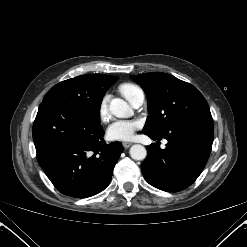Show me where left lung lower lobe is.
I'll use <instances>...</instances> for the list:
<instances>
[{"label": "left lung lower lobe", "mask_w": 247, "mask_h": 247, "mask_svg": "<svg viewBox=\"0 0 247 247\" xmlns=\"http://www.w3.org/2000/svg\"><path fill=\"white\" fill-rule=\"evenodd\" d=\"M168 140L165 149L156 144L147 146L142 173L152 186L167 192H178L190 186L201 174L211 152L214 128L212 118H200L177 126L159 137Z\"/></svg>", "instance_id": "1"}]
</instances>
